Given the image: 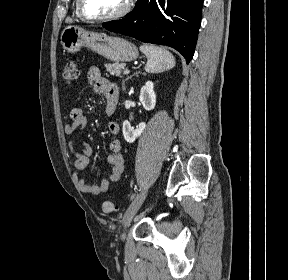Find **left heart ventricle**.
I'll return each instance as SVG.
<instances>
[{
  "mask_svg": "<svg viewBox=\"0 0 288 280\" xmlns=\"http://www.w3.org/2000/svg\"><path fill=\"white\" fill-rule=\"evenodd\" d=\"M126 0H84V10L94 17L112 15L121 10Z\"/></svg>",
  "mask_w": 288,
  "mask_h": 280,
  "instance_id": "1",
  "label": "left heart ventricle"
}]
</instances>
